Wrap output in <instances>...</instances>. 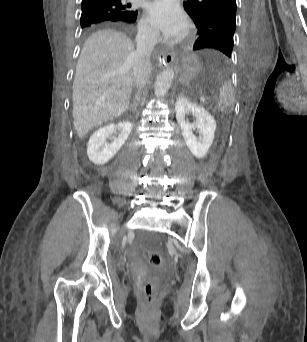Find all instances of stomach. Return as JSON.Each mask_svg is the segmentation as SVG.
Listing matches in <instances>:
<instances>
[{"label": "stomach", "instance_id": "obj_1", "mask_svg": "<svg viewBox=\"0 0 307 342\" xmlns=\"http://www.w3.org/2000/svg\"><path fill=\"white\" fill-rule=\"evenodd\" d=\"M178 63L181 69L180 81L182 84H188L194 76V57L185 56Z\"/></svg>", "mask_w": 307, "mask_h": 342}]
</instances>
